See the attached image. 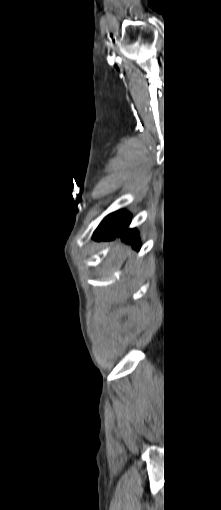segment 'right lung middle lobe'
<instances>
[{
  "instance_id": "obj_1",
  "label": "right lung middle lobe",
  "mask_w": 221,
  "mask_h": 510,
  "mask_svg": "<svg viewBox=\"0 0 221 510\" xmlns=\"http://www.w3.org/2000/svg\"><path fill=\"white\" fill-rule=\"evenodd\" d=\"M123 214H124V212H123V211H118V212H115V213H113V214H111V215H112V216H114V217H120V216H122Z\"/></svg>"
}]
</instances>
